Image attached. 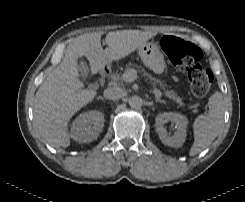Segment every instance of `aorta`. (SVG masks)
Masks as SVG:
<instances>
[{"label":"aorta","instance_id":"1","mask_svg":"<svg viewBox=\"0 0 245 202\" xmlns=\"http://www.w3.org/2000/svg\"><path fill=\"white\" fill-rule=\"evenodd\" d=\"M128 103L131 108L140 109L143 105V100L139 96H132Z\"/></svg>","mask_w":245,"mask_h":202}]
</instances>
